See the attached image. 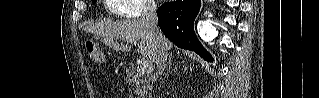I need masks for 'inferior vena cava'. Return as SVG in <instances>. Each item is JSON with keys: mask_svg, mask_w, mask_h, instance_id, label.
Returning a JSON list of instances; mask_svg holds the SVG:
<instances>
[{"mask_svg": "<svg viewBox=\"0 0 319 98\" xmlns=\"http://www.w3.org/2000/svg\"><path fill=\"white\" fill-rule=\"evenodd\" d=\"M141 20L148 31L154 35L158 41V51L156 58L157 75L162 76L168 59V52L163 42V36L158 28V17L156 14V4L153 0H146L142 11Z\"/></svg>", "mask_w": 319, "mask_h": 98, "instance_id": "obj_1", "label": "inferior vena cava"}]
</instances>
